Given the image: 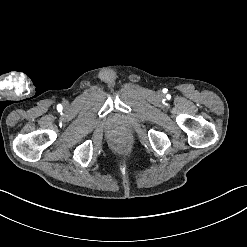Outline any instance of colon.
I'll return each instance as SVG.
<instances>
[{
	"label": "colon",
	"mask_w": 247,
	"mask_h": 247,
	"mask_svg": "<svg viewBox=\"0 0 247 247\" xmlns=\"http://www.w3.org/2000/svg\"><path fill=\"white\" fill-rule=\"evenodd\" d=\"M113 145L118 152L124 153L131 148L132 142L127 135L121 134L114 139Z\"/></svg>",
	"instance_id": "1"
}]
</instances>
